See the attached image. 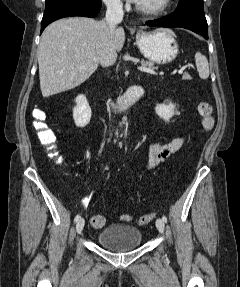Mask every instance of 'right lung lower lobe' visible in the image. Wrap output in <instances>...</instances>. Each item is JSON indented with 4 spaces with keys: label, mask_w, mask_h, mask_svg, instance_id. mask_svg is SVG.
Wrapping results in <instances>:
<instances>
[{
    "label": "right lung lower lobe",
    "mask_w": 240,
    "mask_h": 287,
    "mask_svg": "<svg viewBox=\"0 0 240 287\" xmlns=\"http://www.w3.org/2000/svg\"><path fill=\"white\" fill-rule=\"evenodd\" d=\"M41 33L51 22L71 16L95 17L102 6L101 0H45Z\"/></svg>",
    "instance_id": "1"
}]
</instances>
